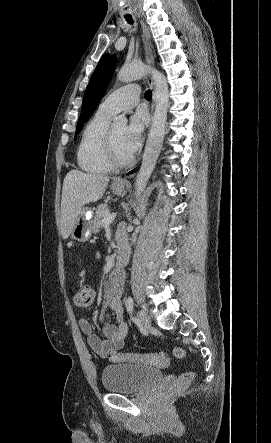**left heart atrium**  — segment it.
Wrapping results in <instances>:
<instances>
[{
	"label": "left heart atrium",
	"mask_w": 271,
	"mask_h": 443,
	"mask_svg": "<svg viewBox=\"0 0 271 443\" xmlns=\"http://www.w3.org/2000/svg\"><path fill=\"white\" fill-rule=\"evenodd\" d=\"M148 124V116L144 110H137L130 118L123 137V148L129 154H135L144 141V131Z\"/></svg>",
	"instance_id": "1"
}]
</instances>
